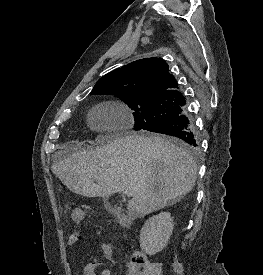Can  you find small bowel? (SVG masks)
I'll return each mask as SVG.
<instances>
[{
	"label": "small bowel",
	"instance_id": "small-bowel-1",
	"mask_svg": "<svg viewBox=\"0 0 263 275\" xmlns=\"http://www.w3.org/2000/svg\"><path fill=\"white\" fill-rule=\"evenodd\" d=\"M81 234L76 232L69 236L67 240V248L71 249L80 239ZM100 249L105 256H110L113 253V247L108 242H101ZM101 263L97 260H92L88 262L83 268V275H112L109 269H103L99 274L97 273L98 267ZM127 275H143L140 270H138L135 266L131 263L128 264V272Z\"/></svg>",
	"mask_w": 263,
	"mask_h": 275
}]
</instances>
